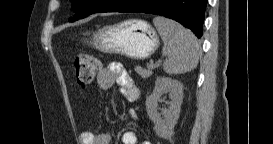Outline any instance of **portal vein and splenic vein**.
Instances as JSON below:
<instances>
[{"mask_svg":"<svg viewBox=\"0 0 273 144\" xmlns=\"http://www.w3.org/2000/svg\"><path fill=\"white\" fill-rule=\"evenodd\" d=\"M147 68H148V69H153V68H154L153 62L149 63V64L147 65Z\"/></svg>","mask_w":273,"mask_h":144,"instance_id":"1","label":"portal vein and splenic vein"}]
</instances>
